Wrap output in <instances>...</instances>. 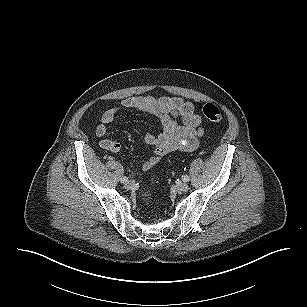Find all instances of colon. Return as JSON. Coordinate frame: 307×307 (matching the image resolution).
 Segmentation results:
<instances>
[{"label":"colon","instance_id":"1","mask_svg":"<svg viewBox=\"0 0 307 307\" xmlns=\"http://www.w3.org/2000/svg\"><path fill=\"white\" fill-rule=\"evenodd\" d=\"M203 114L204 116L213 123H218L222 120V112L219 109V107L213 103H206L203 106ZM143 200L145 203H150L152 200V197L149 194H145L143 196Z\"/></svg>","mask_w":307,"mask_h":307}]
</instances>
